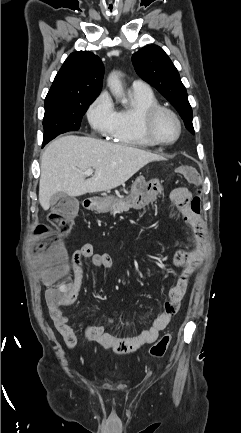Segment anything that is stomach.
<instances>
[{
  "label": "stomach",
  "mask_w": 241,
  "mask_h": 433,
  "mask_svg": "<svg viewBox=\"0 0 241 433\" xmlns=\"http://www.w3.org/2000/svg\"><path fill=\"white\" fill-rule=\"evenodd\" d=\"M163 192V186L159 179H151L146 181L143 176L138 177L132 185L131 193L127 199L137 207H143L148 203L157 199ZM120 198L121 196L118 195ZM114 196H104L103 198H93L92 207L95 210H109L115 201Z\"/></svg>",
  "instance_id": "obj_1"
}]
</instances>
